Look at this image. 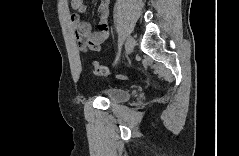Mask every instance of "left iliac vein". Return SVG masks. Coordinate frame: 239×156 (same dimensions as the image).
Returning <instances> with one entry per match:
<instances>
[{
    "label": "left iliac vein",
    "instance_id": "1",
    "mask_svg": "<svg viewBox=\"0 0 239 156\" xmlns=\"http://www.w3.org/2000/svg\"><path fill=\"white\" fill-rule=\"evenodd\" d=\"M135 47V39L132 36H129L125 44V54L128 56Z\"/></svg>",
    "mask_w": 239,
    "mask_h": 156
}]
</instances>
